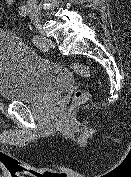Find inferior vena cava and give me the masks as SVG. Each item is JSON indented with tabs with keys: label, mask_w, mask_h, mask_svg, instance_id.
<instances>
[{
	"label": "inferior vena cava",
	"mask_w": 131,
	"mask_h": 177,
	"mask_svg": "<svg viewBox=\"0 0 131 177\" xmlns=\"http://www.w3.org/2000/svg\"><path fill=\"white\" fill-rule=\"evenodd\" d=\"M28 6L36 7L37 0H27Z\"/></svg>",
	"instance_id": "602c4592"
}]
</instances>
